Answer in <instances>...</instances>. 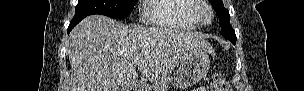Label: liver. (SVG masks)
Masks as SVG:
<instances>
[{
	"label": "liver",
	"mask_w": 304,
	"mask_h": 91,
	"mask_svg": "<svg viewBox=\"0 0 304 91\" xmlns=\"http://www.w3.org/2000/svg\"><path fill=\"white\" fill-rule=\"evenodd\" d=\"M193 50L213 53L197 32L123 25L102 15L84 18L70 33L68 91H126L137 79L170 73ZM141 61L134 64L133 60Z\"/></svg>",
	"instance_id": "6515ba94"
}]
</instances>
